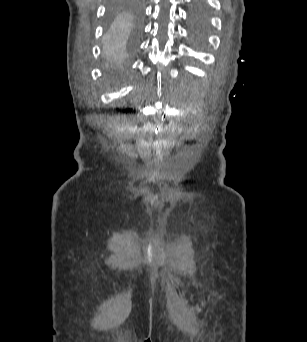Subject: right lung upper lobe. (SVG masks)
I'll return each instance as SVG.
<instances>
[{"mask_svg": "<svg viewBox=\"0 0 307 342\" xmlns=\"http://www.w3.org/2000/svg\"><path fill=\"white\" fill-rule=\"evenodd\" d=\"M123 6L135 10V5H133L132 3H124Z\"/></svg>", "mask_w": 307, "mask_h": 342, "instance_id": "obj_1", "label": "right lung upper lobe"}]
</instances>
